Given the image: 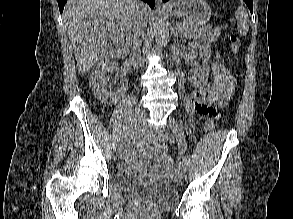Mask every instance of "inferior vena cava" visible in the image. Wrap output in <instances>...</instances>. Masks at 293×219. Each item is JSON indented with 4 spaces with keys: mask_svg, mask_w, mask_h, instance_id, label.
Masks as SVG:
<instances>
[{
    "mask_svg": "<svg viewBox=\"0 0 293 219\" xmlns=\"http://www.w3.org/2000/svg\"><path fill=\"white\" fill-rule=\"evenodd\" d=\"M139 6L144 7L145 4L142 2H139ZM133 27H134V42H133L134 47H133V50L136 51L139 49V46L141 44V39H142V37H144V34H145V21L139 13H137L134 17ZM136 65L139 67L142 66L141 59L137 60Z\"/></svg>",
    "mask_w": 293,
    "mask_h": 219,
    "instance_id": "inferior-vena-cava-1",
    "label": "inferior vena cava"
}]
</instances>
